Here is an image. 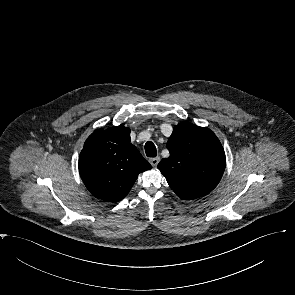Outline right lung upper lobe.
I'll use <instances>...</instances> for the list:
<instances>
[{
  "instance_id": "obj_1",
  "label": "right lung upper lobe",
  "mask_w": 295,
  "mask_h": 295,
  "mask_svg": "<svg viewBox=\"0 0 295 295\" xmlns=\"http://www.w3.org/2000/svg\"><path fill=\"white\" fill-rule=\"evenodd\" d=\"M130 141V129L122 125L97 129L86 140L79 157V173L95 197L120 201L129 193L138 174L151 169Z\"/></svg>"
}]
</instances>
